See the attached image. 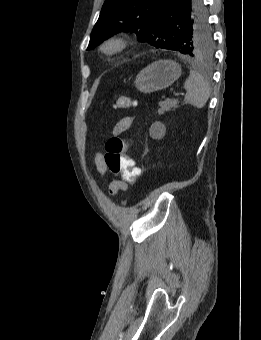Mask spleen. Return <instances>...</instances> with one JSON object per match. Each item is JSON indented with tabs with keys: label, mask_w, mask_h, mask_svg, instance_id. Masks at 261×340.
Listing matches in <instances>:
<instances>
[{
	"label": "spleen",
	"mask_w": 261,
	"mask_h": 340,
	"mask_svg": "<svg viewBox=\"0 0 261 340\" xmlns=\"http://www.w3.org/2000/svg\"><path fill=\"white\" fill-rule=\"evenodd\" d=\"M184 88L187 90L185 102L190 103L196 108L205 106L210 97L211 88L204 77L195 70L190 71V76L184 83Z\"/></svg>",
	"instance_id": "spleen-1"
}]
</instances>
